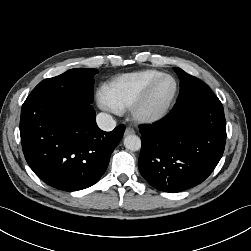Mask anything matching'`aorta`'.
I'll return each mask as SVG.
<instances>
[{
  "mask_svg": "<svg viewBox=\"0 0 251 251\" xmlns=\"http://www.w3.org/2000/svg\"><path fill=\"white\" fill-rule=\"evenodd\" d=\"M124 146L128 150L131 151H138L141 148V140L138 136L136 135H127L124 138Z\"/></svg>",
  "mask_w": 251,
  "mask_h": 251,
  "instance_id": "obj_1",
  "label": "aorta"
}]
</instances>
